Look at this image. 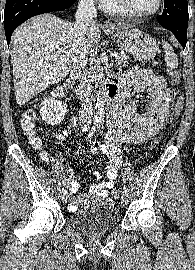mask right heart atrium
I'll return each instance as SVG.
<instances>
[{
    "label": "right heart atrium",
    "instance_id": "d8ad5b80",
    "mask_svg": "<svg viewBox=\"0 0 195 270\" xmlns=\"http://www.w3.org/2000/svg\"><path fill=\"white\" fill-rule=\"evenodd\" d=\"M89 1H96V0H89ZM97 1H99L103 5V3H104L105 0H97Z\"/></svg>",
    "mask_w": 195,
    "mask_h": 270
}]
</instances>
